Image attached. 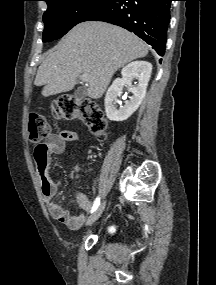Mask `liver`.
I'll use <instances>...</instances> for the list:
<instances>
[{
	"label": "liver",
	"mask_w": 216,
	"mask_h": 285,
	"mask_svg": "<svg viewBox=\"0 0 216 285\" xmlns=\"http://www.w3.org/2000/svg\"><path fill=\"white\" fill-rule=\"evenodd\" d=\"M148 46L136 35L103 22H83L72 28L48 53L34 81L49 97L72 90L81 76L87 95L98 99L114 73L128 62L145 57Z\"/></svg>",
	"instance_id": "6515ba94"
}]
</instances>
